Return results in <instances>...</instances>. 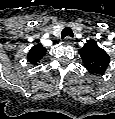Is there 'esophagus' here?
I'll use <instances>...</instances> for the list:
<instances>
[{"mask_svg": "<svg viewBox=\"0 0 115 119\" xmlns=\"http://www.w3.org/2000/svg\"><path fill=\"white\" fill-rule=\"evenodd\" d=\"M64 40H65V42H67V43H72V40H73V38L72 37H69V36H67V37H65L64 38Z\"/></svg>", "mask_w": 115, "mask_h": 119, "instance_id": "esophagus-1", "label": "esophagus"}]
</instances>
